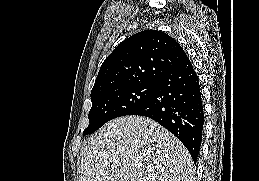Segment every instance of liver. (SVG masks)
<instances>
[{"mask_svg": "<svg viewBox=\"0 0 259 181\" xmlns=\"http://www.w3.org/2000/svg\"><path fill=\"white\" fill-rule=\"evenodd\" d=\"M193 175L181 141L141 116L108 122L80 153L79 181H194Z\"/></svg>", "mask_w": 259, "mask_h": 181, "instance_id": "liver-1", "label": "liver"}]
</instances>
